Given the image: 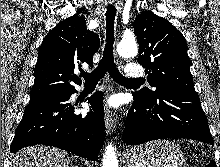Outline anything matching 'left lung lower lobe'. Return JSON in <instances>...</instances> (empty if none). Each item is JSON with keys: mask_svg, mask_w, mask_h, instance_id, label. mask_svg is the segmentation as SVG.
Returning <instances> with one entry per match:
<instances>
[{"mask_svg": "<svg viewBox=\"0 0 220 167\" xmlns=\"http://www.w3.org/2000/svg\"><path fill=\"white\" fill-rule=\"evenodd\" d=\"M122 140L128 145L167 138L194 139L214 145L197 93L167 89L154 98L132 92Z\"/></svg>", "mask_w": 220, "mask_h": 167, "instance_id": "0a47b994", "label": "left lung lower lobe"}]
</instances>
